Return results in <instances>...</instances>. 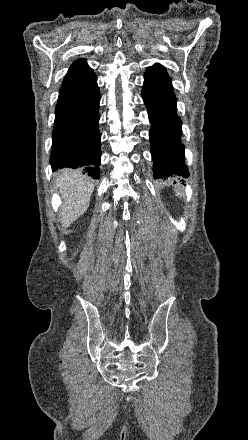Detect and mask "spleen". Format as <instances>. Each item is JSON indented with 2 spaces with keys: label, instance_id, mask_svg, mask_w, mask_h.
<instances>
[{
  "label": "spleen",
  "instance_id": "obj_1",
  "mask_svg": "<svg viewBox=\"0 0 248 440\" xmlns=\"http://www.w3.org/2000/svg\"><path fill=\"white\" fill-rule=\"evenodd\" d=\"M176 195H178V196L182 197V196H183V193H182V192H180V191H178V190H176Z\"/></svg>",
  "mask_w": 248,
  "mask_h": 440
}]
</instances>
